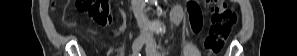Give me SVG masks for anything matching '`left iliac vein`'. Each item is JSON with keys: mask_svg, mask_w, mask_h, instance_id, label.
<instances>
[{"mask_svg": "<svg viewBox=\"0 0 297 56\" xmlns=\"http://www.w3.org/2000/svg\"><path fill=\"white\" fill-rule=\"evenodd\" d=\"M146 53L148 56H159L158 52L155 50L151 43H148L146 46Z\"/></svg>", "mask_w": 297, "mask_h": 56, "instance_id": "obj_1", "label": "left iliac vein"}]
</instances>
